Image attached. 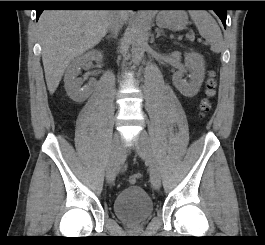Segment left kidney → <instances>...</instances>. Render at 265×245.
Here are the masks:
<instances>
[{
    "label": "left kidney",
    "instance_id": "left-kidney-1",
    "mask_svg": "<svg viewBox=\"0 0 265 245\" xmlns=\"http://www.w3.org/2000/svg\"><path fill=\"white\" fill-rule=\"evenodd\" d=\"M185 66L190 71V80L183 79L186 72L180 69L172 77L175 87L186 97H194L200 90L205 77V61L198 53L190 52L185 54Z\"/></svg>",
    "mask_w": 265,
    "mask_h": 245
}]
</instances>
